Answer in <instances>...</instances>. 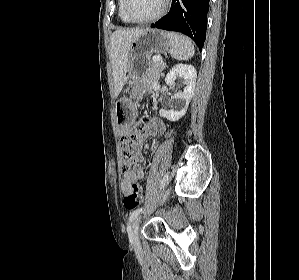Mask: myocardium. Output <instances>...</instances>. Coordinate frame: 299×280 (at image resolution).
<instances>
[{
	"label": "myocardium",
	"mask_w": 299,
	"mask_h": 280,
	"mask_svg": "<svg viewBox=\"0 0 299 280\" xmlns=\"http://www.w3.org/2000/svg\"><path fill=\"white\" fill-rule=\"evenodd\" d=\"M170 3V0H163L162 6L159 9V11L157 13H155L153 16L147 18V19H136L134 18L129 11V0H124V13L127 17V19L131 22V23H135V24H146V23H150L153 22L157 19H159L167 10L168 5Z\"/></svg>",
	"instance_id": "1"
}]
</instances>
